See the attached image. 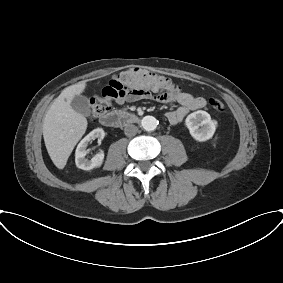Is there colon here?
<instances>
[{
    "instance_id": "5ec220e1",
    "label": "colon",
    "mask_w": 283,
    "mask_h": 283,
    "mask_svg": "<svg viewBox=\"0 0 283 283\" xmlns=\"http://www.w3.org/2000/svg\"><path fill=\"white\" fill-rule=\"evenodd\" d=\"M170 87L171 81L164 75L142 68H128L119 72L101 94L92 97L91 118L99 119L110 110L113 101L128 94L151 97L154 93L164 94ZM209 106L218 113H223L226 109L219 98H210Z\"/></svg>"
}]
</instances>
